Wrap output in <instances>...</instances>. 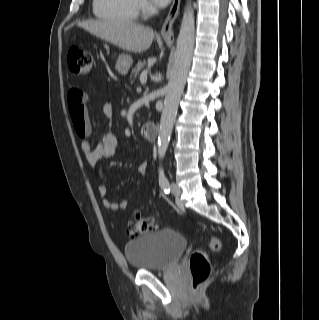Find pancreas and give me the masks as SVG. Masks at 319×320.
I'll return each instance as SVG.
<instances>
[{"label":"pancreas","mask_w":319,"mask_h":320,"mask_svg":"<svg viewBox=\"0 0 319 320\" xmlns=\"http://www.w3.org/2000/svg\"><path fill=\"white\" fill-rule=\"evenodd\" d=\"M144 65H145V63L138 62L136 67L132 69L131 78L136 77L139 74L140 70L144 67Z\"/></svg>","instance_id":"1"}]
</instances>
